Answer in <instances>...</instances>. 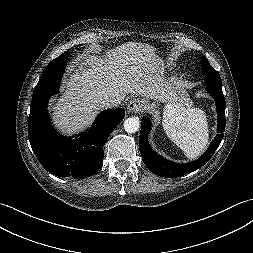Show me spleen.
Here are the masks:
<instances>
[{
  "label": "spleen",
  "mask_w": 253,
  "mask_h": 253,
  "mask_svg": "<svg viewBox=\"0 0 253 253\" xmlns=\"http://www.w3.org/2000/svg\"><path fill=\"white\" fill-rule=\"evenodd\" d=\"M163 127L169 139L189 159L196 158L206 148L208 124L204 111L199 108L177 106L175 110L165 111Z\"/></svg>",
  "instance_id": "1"
}]
</instances>
